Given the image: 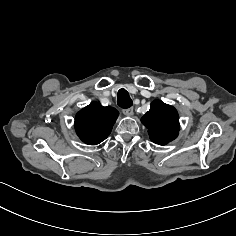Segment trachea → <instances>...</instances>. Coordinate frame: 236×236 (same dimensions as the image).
I'll return each mask as SVG.
<instances>
[{"instance_id":"3493384b","label":"trachea","mask_w":236,"mask_h":236,"mask_svg":"<svg viewBox=\"0 0 236 236\" xmlns=\"http://www.w3.org/2000/svg\"><path fill=\"white\" fill-rule=\"evenodd\" d=\"M117 104L124 109L130 108L133 105L132 99L125 89H120L118 91Z\"/></svg>"}]
</instances>
